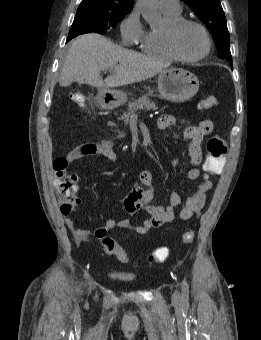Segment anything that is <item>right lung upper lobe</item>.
<instances>
[{
  "instance_id": "right-lung-upper-lobe-1",
  "label": "right lung upper lobe",
  "mask_w": 261,
  "mask_h": 340,
  "mask_svg": "<svg viewBox=\"0 0 261 340\" xmlns=\"http://www.w3.org/2000/svg\"><path fill=\"white\" fill-rule=\"evenodd\" d=\"M134 0H82L80 5H94L101 7H111L130 12Z\"/></svg>"
}]
</instances>
